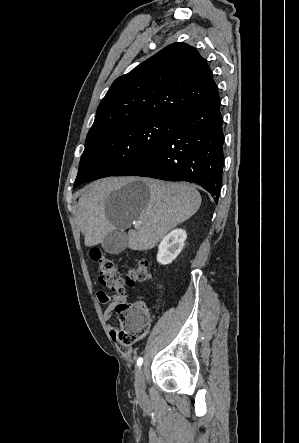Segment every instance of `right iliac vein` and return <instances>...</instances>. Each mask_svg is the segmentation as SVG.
Returning a JSON list of instances; mask_svg holds the SVG:
<instances>
[{
  "label": "right iliac vein",
  "instance_id": "63e3f726",
  "mask_svg": "<svg viewBox=\"0 0 299 443\" xmlns=\"http://www.w3.org/2000/svg\"><path fill=\"white\" fill-rule=\"evenodd\" d=\"M135 390H136L137 398L139 400H144L145 399V381H144V372H143L142 368H140L136 373Z\"/></svg>",
  "mask_w": 299,
  "mask_h": 443
}]
</instances>
